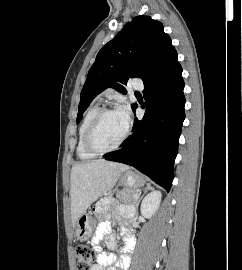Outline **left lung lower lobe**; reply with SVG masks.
<instances>
[{"mask_svg": "<svg viewBox=\"0 0 242 270\" xmlns=\"http://www.w3.org/2000/svg\"><path fill=\"white\" fill-rule=\"evenodd\" d=\"M183 89L182 68L176 57L144 81L143 119L135 118L133 134L122 149L103 157L135 167L169 192L185 119Z\"/></svg>", "mask_w": 242, "mask_h": 270, "instance_id": "1", "label": "left lung lower lobe"}]
</instances>
